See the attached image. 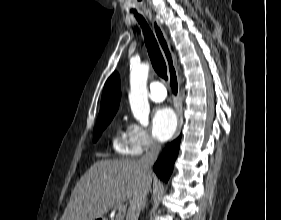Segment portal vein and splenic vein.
Masks as SVG:
<instances>
[{"instance_id":"obj_1","label":"portal vein and splenic vein","mask_w":281,"mask_h":220,"mask_svg":"<svg viewBox=\"0 0 281 220\" xmlns=\"http://www.w3.org/2000/svg\"><path fill=\"white\" fill-rule=\"evenodd\" d=\"M126 211V207L124 205L119 206V212H124Z\"/></svg>"}]
</instances>
